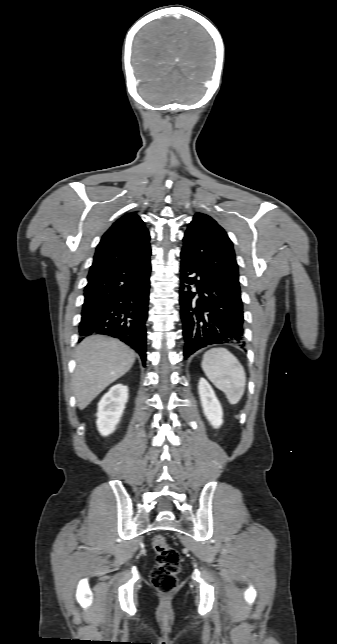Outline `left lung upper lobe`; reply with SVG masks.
<instances>
[{"label": "left lung upper lobe", "mask_w": 337, "mask_h": 644, "mask_svg": "<svg viewBox=\"0 0 337 644\" xmlns=\"http://www.w3.org/2000/svg\"><path fill=\"white\" fill-rule=\"evenodd\" d=\"M181 256L213 274L233 294L241 297L233 244L210 216L196 213L183 238Z\"/></svg>", "instance_id": "obj_1"}]
</instances>
